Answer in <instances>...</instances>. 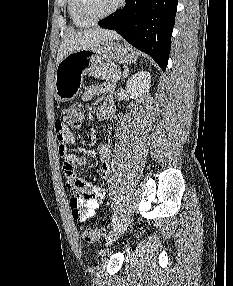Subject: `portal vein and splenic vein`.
I'll list each match as a JSON object with an SVG mask.
<instances>
[{"label": "portal vein and splenic vein", "mask_w": 233, "mask_h": 286, "mask_svg": "<svg viewBox=\"0 0 233 286\" xmlns=\"http://www.w3.org/2000/svg\"><path fill=\"white\" fill-rule=\"evenodd\" d=\"M114 75H115L116 77H119V73H115Z\"/></svg>", "instance_id": "1"}]
</instances>
